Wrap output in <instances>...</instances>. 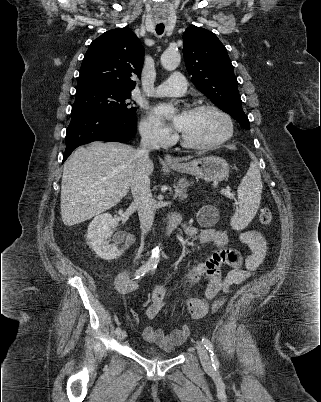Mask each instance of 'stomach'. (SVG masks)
I'll return each mask as SVG.
<instances>
[{
    "label": "stomach",
    "mask_w": 321,
    "mask_h": 402,
    "mask_svg": "<svg viewBox=\"0 0 321 402\" xmlns=\"http://www.w3.org/2000/svg\"><path fill=\"white\" fill-rule=\"evenodd\" d=\"M171 169L199 176L205 181H222L229 173L228 163L218 156H207L195 159L178 166H170Z\"/></svg>",
    "instance_id": "stomach-1"
}]
</instances>
